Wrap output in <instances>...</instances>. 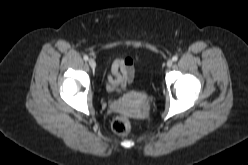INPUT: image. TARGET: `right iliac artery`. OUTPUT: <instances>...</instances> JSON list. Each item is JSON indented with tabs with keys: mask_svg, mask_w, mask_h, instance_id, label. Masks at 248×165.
<instances>
[{
	"mask_svg": "<svg viewBox=\"0 0 248 165\" xmlns=\"http://www.w3.org/2000/svg\"><path fill=\"white\" fill-rule=\"evenodd\" d=\"M83 59H84L85 61H87V60H88V56H87V55H84Z\"/></svg>",
	"mask_w": 248,
	"mask_h": 165,
	"instance_id": "right-iliac-artery-1",
	"label": "right iliac artery"
}]
</instances>
